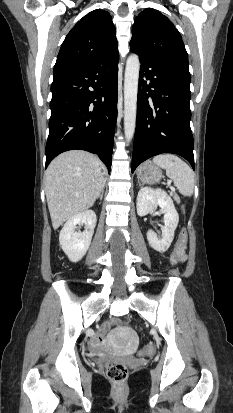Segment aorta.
<instances>
[{
	"label": "aorta",
	"mask_w": 233,
	"mask_h": 413,
	"mask_svg": "<svg viewBox=\"0 0 233 413\" xmlns=\"http://www.w3.org/2000/svg\"><path fill=\"white\" fill-rule=\"evenodd\" d=\"M139 71V56L132 54L126 61L124 79V133L127 142L132 140L136 127Z\"/></svg>",
	"instance_id": "aorta-1"
}]
</instances>
